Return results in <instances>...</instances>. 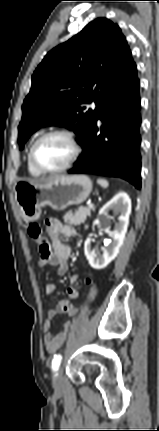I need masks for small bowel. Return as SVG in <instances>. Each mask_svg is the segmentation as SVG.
<instances>
[{"instance_id": "obj_1", "label": "small bowel", "mask_w": 159, "mask_h": 431, "mask_svg": "<svg viewBox=\"0 0 159 431\" xmlns=\"http://www.w3.org/2000/svg\"><path fill=\"white\" fill-rule=\"evenodd\" d=\"M45 233V241H36L39 246L40 252V259L38 264L41 268L47 265L55 266L57 268V274L63 276L67 273L69 269L68 260L71 255V248L69 245L62 241V236L73 237L76 235V230L72 226L65 225L57 219H48L45 222ZM41 243H44V246H41ZM77 281V275L74 274L70 276L69 286L67 288V295L70 299L73 300H76L80 297V293L75 287ZM56 290L57 286L55 284H47V295H53ZM69 310H75V307L69 300L62 299L58 301L56 307L50 309L47 313L46 321L44 322L43 326V338L45 350L49 354H54L55 352H57V350L61 348L67 338L70 327V322H66L63 325L62 330L58 334L52 335L50 331L51 320L58 314L68 315Z\"/></svg>"}]
</instances>
